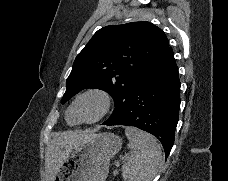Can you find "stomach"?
<instances>
[{
    "label": "stomach",
    "instance_id": "obj_1",
    "mask_svg": "<svg viewBox=\"0 0 228 181\" xmlns=\"http://www.w3.org/2000/svg\"><path fill=\"white\" fill-rule=\"evenodd\" d=\"M121 145L113 133H100L83 145H74L54 181H106L110 159Z\"/></svg>",
    "mask_w": 228,
    "mask_h": 181
}]
</instances>
